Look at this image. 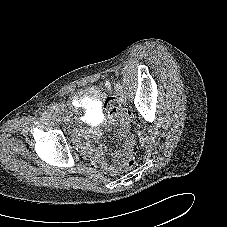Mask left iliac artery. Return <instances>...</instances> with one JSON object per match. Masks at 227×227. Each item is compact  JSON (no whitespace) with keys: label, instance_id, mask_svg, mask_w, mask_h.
I'll return each mask as SVG.
<instances>
[{"label":"left iliac artery","instance_id":"obj_1","mask_svg":"<svg viewBox=\"0 0 227 227\" xmlns=\"http://www.w3.org/2000/svg\"><path fill=\"white\" fill-rule=\"evenodd\" d=\"M116 89L120 92L123 91L122 86L119 83L116 84Z\"/></svg>","mask_w":227,"mask_h":227}]
</instances>
